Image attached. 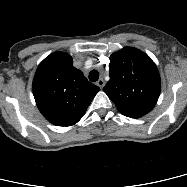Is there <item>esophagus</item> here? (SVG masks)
<instances>
[{
  "instance_id": "obj_1",
  "label": "esophagus",
  "mask_w": 187,
  "mask_h": 187,
  "mask_svg": "<svg viewBox=\"0 0 187 187\" xmlns=\"http://www.w3.org/2000/svg\"><path fill=\"white\" fill-rule=\"evenodd\" d=\"M101 89L105 86L104 80L101 78L96 83Z\"/></svg>"
}]
</instances>
